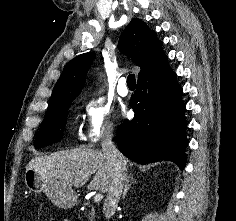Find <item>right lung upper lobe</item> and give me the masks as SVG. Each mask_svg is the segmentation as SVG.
I'll return each mask as SVG.
<instances>
[{
  "label": "right lung upper lobe",
  "mask_w": 236,
  "mask_h": 221,
  "mask_svg": "<svg viewBox=\"0 0 236 221\" xmlns=\"http://www.w3.org/2000/svg\"><path fill=\"white\" fill-rule=\"evenodd\" d=\"M118 48L141 68L138 79L157 70L166 60L162 52V42L156 38L154 31L137 18L132 19L123 31ZM93 59V53H85L75 57L65 66L54 87L48 111L74 100L79 95Z\"/></svg>",
  "instance_id": "right-lung-upper-lobe-1"
}]
</instances>
